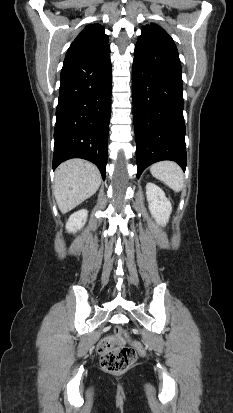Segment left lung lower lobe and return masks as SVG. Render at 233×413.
Returning a JSON list of instances; mask_svg holds the SVG:
<instances>
[{"label":"left lung lower lobe","instance_id":"0a47b994","mask_svg":"<svg viewBox=\"0 0 233 413\" xmlns=\"http://www.w3.org/2000/svg\"><path fill=\"white\" fill-rule=\"evenodd\" d=\"M132 87L137 177L161 160L185 170L181 63L172 40L150 35L137 41Z\"/></svg>","mask_w":233,"mask_h":413}]
</instances>
